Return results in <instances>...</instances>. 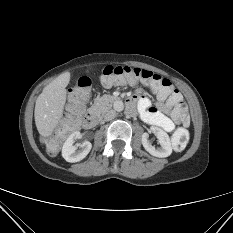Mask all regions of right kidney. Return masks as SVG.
I'll list each match as a JSON object with an SVG mask.
<instances>
[{
	"mask_svg": "<svg viewBox=\"0 0 233 233\" xmlns=\"http://www.w3.org/2000/svg\"><path fill=\"white\" fill-rule=\"evenodd\" d=\"M80 138L81 133L79 131H75L71 133L64 142L62 147V157L67 162H79L84 159L90 152L92 144L89 141H85L80 144V150H77V146L74 145V142Z\"/></svg>",
	"mask_w": 233,
	"mask_h": 233,
	"instance_id": "obj_1",
	"label": "right kidney"
}]
</instances>
